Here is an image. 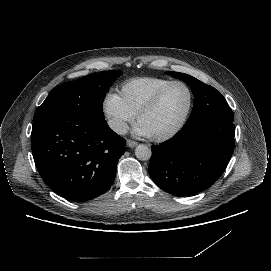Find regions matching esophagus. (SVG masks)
Instances as JSON below:
<instances>
[{"mask_svg":"<svg viewBox=\"0 0 271 271\" xmlns=\"http://www.w3.org/2000/svg\"><path fill=\"white\" fill-rule=\"evenodd\" d=\"M126 145H127L128 148H134V147L137 146V142H135L133 140H127Z\"/></svg>","mask_w":271,"mask_h":271,"instance_id":"1","label":"esophagus"}]
</instances>
